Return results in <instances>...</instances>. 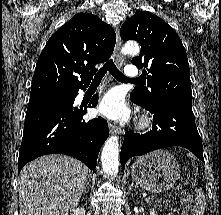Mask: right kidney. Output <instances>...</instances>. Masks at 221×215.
I'll list each match as a JSON object with an SVG mask.
<instances>
[{
    "instance_id": "obj_1",
    "label": "right kidney",
    "mask_w": 221,
    "mask_h": 215,
    "mask_svg": "<svg viewBox=\"0 0 221 215\" xmlns=\"http://www.w3.org/2000/svg\"><path fill=\"white\" fill-rule=\"evenodd\" d=\"M67 215H85V210L83 208H77L74 209L71 214Z\"/></svg>"
}]
</instances>
